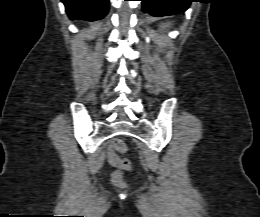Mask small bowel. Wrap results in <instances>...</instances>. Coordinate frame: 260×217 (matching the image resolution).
Segmentation results:
<instances>
[{"mask_svg": "<svg viewBox=\"0 0 260 217\" xmlns=\"http://www.w3.org/2000/svg\"><path fill=\"white\" fill-rule=\"evenodd\" d=\"M108 158H109V162L113 166L117 165L118 157H117V155L115 154V152H114V150L112 148L109 150Z\"/></svg>", "mask_w": 260, "mask_h": 217, "instance_id": "c3829d8e", "label": "small bowel"}]
</instances>
